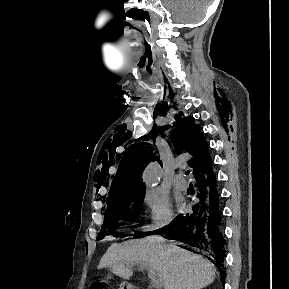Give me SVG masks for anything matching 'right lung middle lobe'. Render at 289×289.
I'll return each instance as SVG.
<instances>
[{"label": "right lung middle lobe", "mask_w": 289, "mask_h": 289, "mask_svg": "<svg viewBox=\"0 0 289 289\" xmlns=\"http://www.w3.org/2000/svg\"><path fill=\"white\" fill-rule=\"evenodd\" d=\"M144 196L145 194H136L122 201L108 205L104 215V223L99 235L97 236V239L103 237L106 230L114 231L115 227H118L117 222L119 219L136 222L138 217L134 213L140 214ZM133 227L136 228L138 226L134 225ZM135 234L136 231L133 235ZM120 235L123 234H118V236Z\"/></svg>", "instance_id": "dd1d6c3e"}]
</instances>
